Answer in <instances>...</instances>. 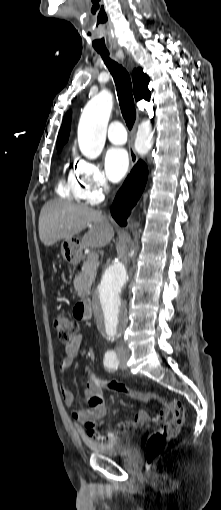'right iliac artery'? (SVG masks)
<instances>
[{"instance_id":"82829eb1","label":"right iliac artery","mask_w":221,"mask_h":510,"mask_svg":"<svg viewBox=\"0 0 221 510\" xmlns=\"http://www.w3.org/2000/svg\"><path fill=\"white\" fill-rule=\"evenodd\" d=\"M104 365L109 370H117L119 361L117 359L116 353L113 350H109L105 353Z\"/></svg>"}]
</instances>
